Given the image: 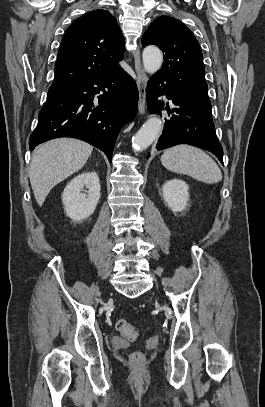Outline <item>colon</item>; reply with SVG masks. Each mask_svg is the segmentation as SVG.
Here are the masks:
<instances>
[{
	"instance_id": "1",
	"label": "colon",
	"mask_w": 265,
	"mask_h": 407,
	"mask_svg": "<svg viewBox=\"0 0 265 407\" xmlns=\"http://www.w3.org/2000/svg\"><path fill=\"white\" fill-rule=\"evenodd\" d=\"M116 328L125 338L131 341L139 339L142 334L141 327L132 325L125 319H119L116 322ZM130 359L133 362L141 363L144 359V356L141 352H133L130 355Z\"/></svg>"
}]
</instances>
